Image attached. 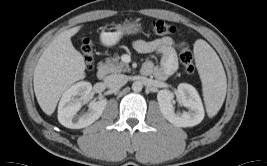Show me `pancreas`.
I'll list each match as a JSON object with an SVG mask.
<instances>
[{
  "label": "pancreas",
  "mask_w": 267,
  "mask_h": 166,
  "mask_svg": "<svg viewBox=\"0 0 267 166\" xmlns=\"http://www.w3.org/2000/svg\"><path fill=\"white\" fill-rule=\"evenodd\" d=\"M102 68L106 73H120L130 71L129 65L120 61V57L117 54H115L114 57L107 58L105 63L102 65Z\"/></svg>",
  "instance_id": "1"
}]
</instances>
